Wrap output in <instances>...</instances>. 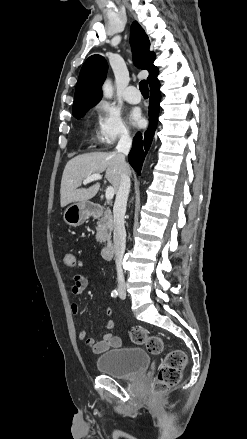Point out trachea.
<instances>
[{
	"label": "trachea",
	"mask_w": 247,
	"mask_h": 439,
	"mask_svg": "<svg viewBox=\"0 0 247 439\" xmlns=\"http://www.w3.org/2000/svg\"><path fill=\"white\" fill-rule=\"evenodd\" d=\"M139 89L143 96H149L148 83L146 80H142L139 83Z\"/></svg>",
	"instance_id": "trachea-1"
}]
</instances>
